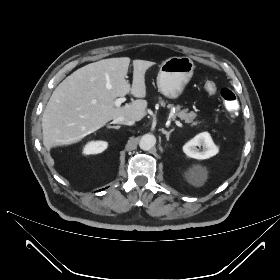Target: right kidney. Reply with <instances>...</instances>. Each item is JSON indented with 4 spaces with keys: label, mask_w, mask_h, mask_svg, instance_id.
<instances>
[{
    "label": "right kidney",
    "mask_w": 280,
    "mask_h": 280,
    "mask_svg": "<svg viewBox=\"0 0 280 280\" xmlns=\"http://www.w3.org/2000/svg\"><path fill=\"white\" fill-rule=\"evenodd\" d=\"M107 146L108 143L105 141H91L84 146L83 153L86 155L98 154L103 152Z\"/></svg>",
    "instance_id": "obj_1"
}]
</instances>
